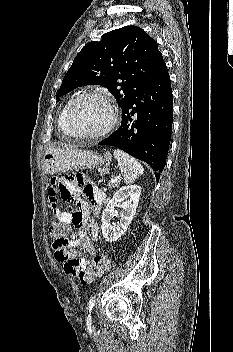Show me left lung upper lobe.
<instances>
[{
    "instance_id": "5c2ea615",
    "label": "left lung upper lobe",
    "mask_w": 233,
    "mask_h": 352,
    "mask_svg": "<svg viewBox=\"0 0 233 352\" xmlns=\"http://www.w3.org/2000/svg\"><path fill=\"white\" fill-rule=\"evenodd\" d=\"M166 68L157 42L140 27L125 26L81 49L56 98L95 84L108 88L123 109Z\"/></svg>"
}]
</instances>
